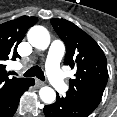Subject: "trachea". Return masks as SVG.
Returning a JSON list of instances; mask_svg holds the SVG:
<instances>
[{"label": "trachea", "instance_id": "3493384b", "mask_svg": "<svg viewBox=\"0 0 117 117\" xmlns=\"http://www.w3.org/2000/svg\"><path fill=\"white\" fill-rule=\"evenodd\" d=\"M11 74L13 75H17V73L15 72H11ZM25 77H33L36 76L38 79L44 81L45 80V76L44 73L42 71V69L39 66H33L32 68H30L28 71H26L24 73Z\"/></svg>", "mask_w": 117, "mask_h": 117}]
</instances>
